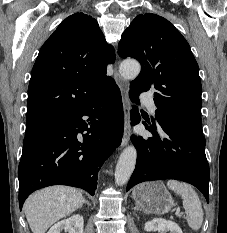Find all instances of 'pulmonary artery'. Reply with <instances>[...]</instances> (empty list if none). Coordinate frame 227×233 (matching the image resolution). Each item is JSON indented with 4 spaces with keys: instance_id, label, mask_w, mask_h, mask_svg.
<instances>
[{
    "instance_id": "pulmonary-artery-1",
    "label": "pulmonary artery",
    "mask_w": 227,
    "mask_h": 233,
    "mask_svg": "<svg viewBox=\"0 0 227 233\" xmlns=\"http://www.w3.org/2000/svg\"><path fill=\"white\" fill-rule=\"evenodd\" d=\"M142 102L145 104V106L148 108V110L152 113L155 114L156 111V105L153 101V99L149 96L143 95L141 97Z\"/></svg>"
}]
</instances>
